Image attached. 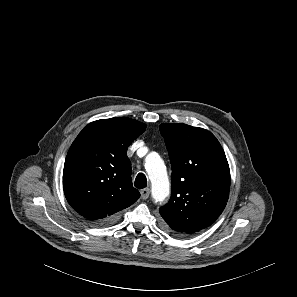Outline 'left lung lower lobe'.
Segmentation results:
<instances>
[{"mask_svg":"<svg viewBox=\"0 0 297 297\" xmlns=\"http://www.w3.org/2000/svg\"><path fill=\"white\" fill-rule=\"evenodd\" d=\"M168 231V230H167ZM170 234H172V235H175V236H178L177 234H174L173 232H170V231H168Z\"/></svg>","mask_w":297,"mask_h":297,"instance_id":"left-lung-lower-lobe-1","label":"left lung lower lobe"}]
</instances>
